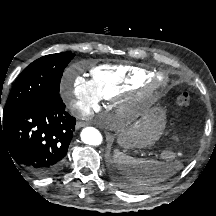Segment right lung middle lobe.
<instances>
[{"label": "right lung middle lobe", "instance_id": "right-lung-middle-lobe-1", "mask_svg": "<svg viewBox=\"0 0 216 216\" xmlns=\"http://www.w3.org/2000/svg\"><path fill=\"white\" fill-rule=\"evenodd\" d=\"M73 57L71 52L50 54L28 65L13 85L3 116L32 103L58 97L63 70Z\"/></svg>", "mask_w": 216, "mask_h": 216}]
</instances>
